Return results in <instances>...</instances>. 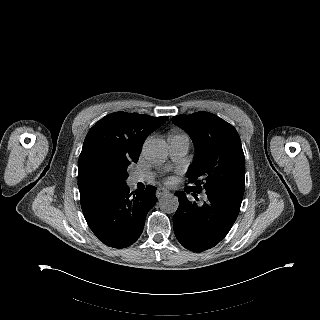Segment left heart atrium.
Listing matches in <instances>:
<instances>
[{
    "label": "left heart atrium",
    "instance_id": "39dd6f15",
    "mask_svg": "<svg viewBox=\"0 0 320 320\" xmlns=\"http://www.w3.org/2000/svg\"><path fill=\"white\" fill-rule=\"evenodd\" d=\"M172 181H173L172 179L169 180V182H172Z\"/></svg>",
    "mask_w": 320,
    "mask_h": 320
}]
</instances>
